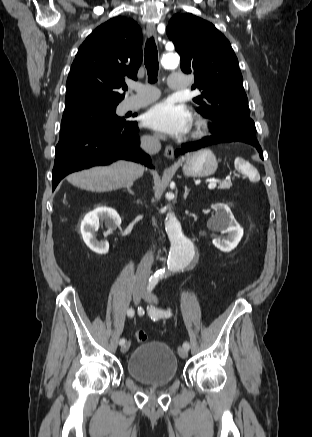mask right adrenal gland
Returning a JSON list of instances; mask_svg holds the SVG:
<instances>
[{"instance_id": "right-adrenal-gland-1", "label": "right adrenal gland", "mask_w": 312, "mask_h": 437, "mask_svg": "<svg viewBox=\"0 0 312 437\" xmlns=\"http://www.w3.org/2000/svg\"><path fill=\"white\" fill-rule=\"evenodd\" d=\"M126 189H127V191L129 192V194L134 195V192L132 191L131 186L126 187Z\"/></svg>"}]
</instances>
